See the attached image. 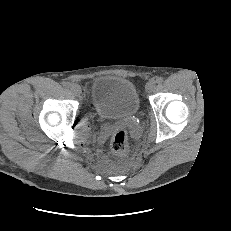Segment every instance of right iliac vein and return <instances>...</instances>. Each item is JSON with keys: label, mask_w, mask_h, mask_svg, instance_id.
<instances>
[{"label": "right iliac vein", "mask_w": 231, "mask_h": 231, "mask_svg": "<svg viewBox=\"0 0 231 231\" xmlns=\"http://www.w3.org/2000/svg\"><path fill=\"white\" fill-rule=\"evenodd\" d=\"M70 90L74 95H79L81 93V87L78 84H71Z\"/></svg>", "instance_id": "obj_1"}]
</instances>
